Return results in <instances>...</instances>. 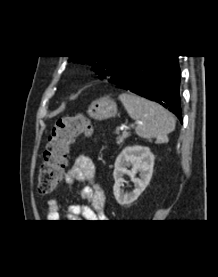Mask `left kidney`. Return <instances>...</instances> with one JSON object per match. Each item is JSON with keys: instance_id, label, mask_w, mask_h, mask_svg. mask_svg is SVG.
<instances>
[{"instance_id": "5707ae66", "label": "left kidney", "mask_w": 218, "mask_h": 277, "mask_svg": "<svg viewBox=\"0 0 218 277\" xmlns=\"http://www.w3.org/2000/svg\"><path fill=\"white\" fill-rule=\"evenodd\" d=\"M154 159L150 149L143 146H128L119 154L113 172V193L119 204H131L145 190L152 177ZM127 166H132V169L128 170ZM138 172L139 178H136ZM124 175H128L134 183L135 188L132 192L127 193L122 189Z\"/></svg>"}]
</instances>
